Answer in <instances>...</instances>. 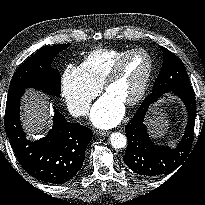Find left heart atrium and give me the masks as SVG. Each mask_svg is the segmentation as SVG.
I'll list each match as a JSON object with an SVG mask.
<instances>
[{"mask_svg": "<svg viewBox=\"0 0 205 205\" xmlns=\"http://www.w3.org/2000/svg\"><path fill=\"white\" fill-rule=\"evenodd\" d=\"M123 115L122 103L106 93L94 104L90 117L95 126L111 128L121 121Z\"/></svg>", "mask_w": 205, "mask_h": 205, "instance_id": "39dd6f15", "label": "left heart atrium"}]
</instances>
